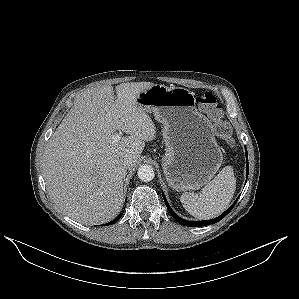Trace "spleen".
<instances>
[{
	"label": "spleen",
	"instance_id": "obj_1",
	"mask_svg": "<svg viewBox=\"0 0 299 299\" xmlns=\"http://www.w3.org/2000/svg\"><path fill=\"white\" fill-rule=\"evenodd\" d=\"M236 190V178L231 166L224 167L201 192L183 193L180 201L185 210L200 220L219 216L229 206Z\"/></svg>",
	"mask_w": 299,
	"mask_h": 299
}]
</instances>
